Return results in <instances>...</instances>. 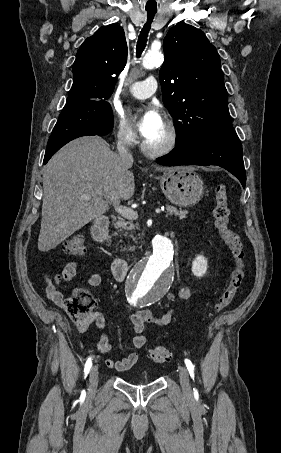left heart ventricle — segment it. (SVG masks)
<instances>
[{"instance_id":"left-heart-ventricle-1","label":"left heart ventricle","mask_w":281,"mask_h":453,"mask_svg":"<svg viewBox=\"0 0 281 453\" xmlns=\"http://www.w3.org/2000/svg\"><path fill=\"white\" fill-rule=\"evenodd\" d=\"M149 145L153 147H161L168 142V132L162 123L148 137L145 138Z\"/></svg>"}]
</instances>
